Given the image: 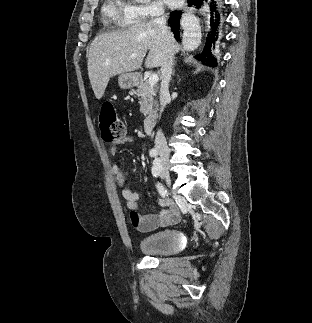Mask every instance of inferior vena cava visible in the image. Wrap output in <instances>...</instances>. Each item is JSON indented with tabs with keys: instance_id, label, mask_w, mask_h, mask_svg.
<instances>
[{
	"instance_id": "602c4592",
	"label": "inferior vena cava",
	"mask_w": 312,
	"mask_h": 323,
	"mask_svg": "<svg viewBox=\"0 0 312 323\" xmlns=\"http://www.w3.org/2000/svg\"><path fill=\"white\" fill-rule=\"evenodd\" d=\"M157 18L153 20L154 24H157L161 30L162 36L165 40V50L163 54V60L161 62V88H160V112H163L166 106L167 96L169 94V82L171 80L172 66H173V50H174V38L172 32H170L164 12H156ZM155 146L159 150H163L165 154H168V146L166 138L162 130H158L155 136Z\"/></svg>"
}]
</instances>
